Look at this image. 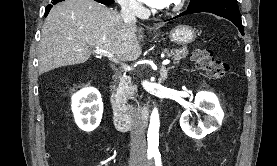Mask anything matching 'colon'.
I'll return each mask as SVG.
<instances>
[{"label":"colon","mask_w":277,"mask_h":166,"mask_svg":"<svg viewBox=\"0 0 277 166\" xmlns=\"http://www.w3.org/2000/svg\"><path fill=\"white\" fill-rule=\"evenodd\" d=\"M191 58L198 69L204 71L213 79H222L229 72V65L226 62L215 58L210 49H196L192 53Z\"/></svg>","instance_id":"obj_1"}]
</instances>
